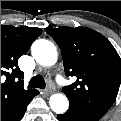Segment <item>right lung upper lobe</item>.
<instances>
[{"instance_id": "cb5924a9", "label": "right lung upper lobe", "mask_w": 121, "mask_h": 121, "mask_svg": "<svg viewBox=\"0 0 121 121\" xmlns=\"http://www.w3.org/2000/svg\"><path fill=\"white\" fill-rule=\"evenodd\" d=\"M42 33L39 28L1 26V121L14 112L36 89L24 90V73L17 63Z\"/></svg>"}]
</instances>
